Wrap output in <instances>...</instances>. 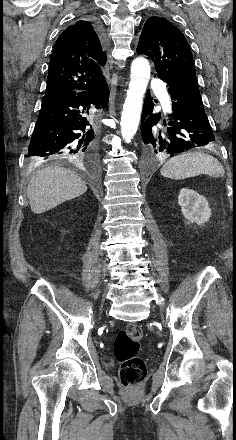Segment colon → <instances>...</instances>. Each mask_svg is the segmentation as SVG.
Returning <instances> with one entry per match:
<instances>
[{"label":"colon","mask_w":236,"mask_h":440,"mask_svg":"<svg viewBox=\"0 0 236 440\" xmlns=\"http://www.w3.org/2000/svg\"><path fill=\"white\" fill-rule=\"evenodd\" d=\"M142 337L141 328L130 324L120 330L115 339L114 354L120 363V380L126 388L139 386L147 375L146 364L139 356Z\"/></svg>","instance_id":"obj_1"}]
</instances>
